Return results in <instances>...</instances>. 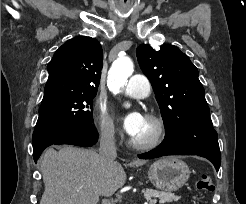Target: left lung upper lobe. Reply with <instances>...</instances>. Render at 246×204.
I'll list each match as a JSON object with an SVG mask.
<instances>
[{"label":"left lung upper lobe","instance_id":"1","mask_svg":"<svg viewBox=\"0 0 246 204\" xmlns=\"http://www.w3.org/2000/svg\"><path fill=\"white\" fill-rule=\"evenodd\" d=\"M136 55L154 89L166 133L179 124L210 118L198 69L179 48L165 44L155 50L142 44Z\"/></svg>","mask_w":246,"mask_h":204}]
</instances>
